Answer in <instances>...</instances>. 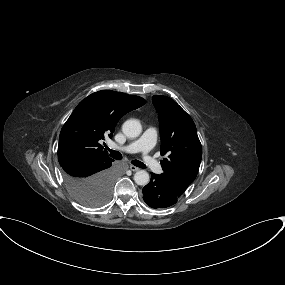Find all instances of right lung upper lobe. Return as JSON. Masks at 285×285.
<instances>
[{"mask_svg": "<svg viewBox=\"0 0 285 285\" xmlns=\"http://www.w3.org/2000/svg\"><path fill=\"white\" fill-rule=\"evenodd\" d=\"M145 103L139 96L109 90L86 97L77 105L61 130L58 146L60 166L86 157H108L99 140L107 135L111 138L119 119Z\"/></svg>", "mask_w": 285, "mask_h": 285, "instance_id": "cb5924a9", "label": "right lung upper lobe"}]
</instances>
